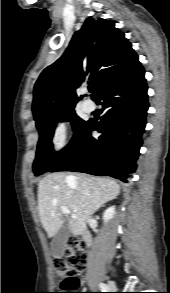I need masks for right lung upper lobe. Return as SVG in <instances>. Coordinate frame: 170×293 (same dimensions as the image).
<instances>
[{
  "mask_svg": "<svg viewBox=\"0 0 170 293\" xmlns=\"http://www.w3.org/2000/svg\"><path fill=\"white\" fill-rule=\"evenodd\" d=\"M141 67L138 56L113 20H85L64 54L43 70L34 86L37 129L74 108L76 89L89 80L96 99L103 88Z\"/></svg>",
  "mask_w": 170,
  "mask_h": 293,
  "instance_id": "1",
  "label": "right lung upper lobe"
}]
</instances>
